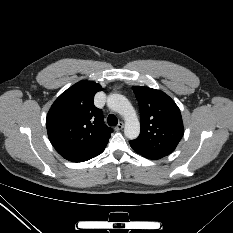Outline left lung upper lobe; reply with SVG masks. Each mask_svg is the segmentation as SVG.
<instances>
[{
  "label": "left lung upper lobe",
  "mask_w": 233,
  "mask_h": 233,
  "mask_svg": "<svg viewBox=\"0 0 233 233\" xmlns=\"http://www.w3.org/2000/svg\"><path fill=\"white\" fill-rule=\"evenodd\" d=\"M140 108L141 132L134 141L142 147L167 156L183 137L180 110L165 93L148 87L134 86Z\"/></svg>",
  "instance_id": "obj_1"
}]
</instances>
